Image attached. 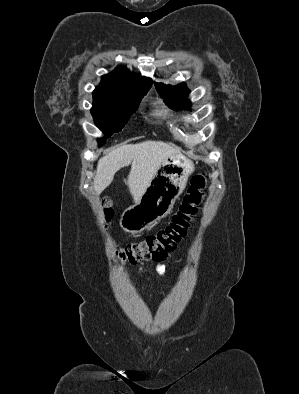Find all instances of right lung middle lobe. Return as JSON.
I'll return each instance as SVG.
<instances>
[{"label": "right lung middle lobe", "instance_id": "obj_1", "mask_svg": "<svg viewBox=\"0 0 299 394\" xmlns=\"http://www.w3.org/2000/svg\"><path fill=\"white\" fill-rule=\"evenodd\" d=\"M145 94L131 92H114L94 95L91 114L98 128L105 133L104 138L98 139L99 146L112 134L122 130L131 115L138 109Z\"/></svg>", "mask_w": 299, "mask_h": 394}]
</instances>
